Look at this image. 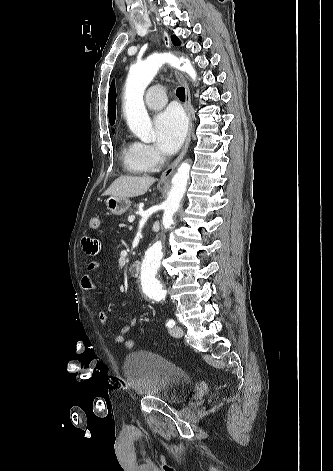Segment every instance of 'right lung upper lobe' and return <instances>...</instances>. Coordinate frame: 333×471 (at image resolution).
Returning <instances> with one entry per match:
<instances>
[{"mask_svg": "<svg viewBox=\"0 0 333 471\" xmlns=\"http://www.w3.org/2000/svg\"><path fill=\"white\" fill-rule=\"evenodd\" d=\"M108 114H109V122L111 125L115 123L116 117V90L114 81L110 86L109 95H108Z\"/></svg>", "mask_w": 333, "mask_h": 471, "instance_id": "right-lung-upper-lobe-1", "label": "right lung upper lobe"}]
</instances>
